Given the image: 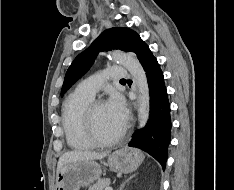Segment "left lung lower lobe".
Instances as JSON below:
<instances>
[{
  "mask_svg": "<svg viewBox=\"0 0 234 190\" xmlns=\"http://www.w3.org/2000/svg\"><path fill=\"white\" fill-rule=\"evenodd\" d=\"M149 85L150 115L145 128L137 131L129 146L142 149L153 156L162 166L167 161V148L171 140L170 104L164 77L157 59L147 44L137 52Z\"/></svg>",
  "mask_w": 234,
  "mask_h": 190,
  "instance_id": "1",
  "label": "left lung lower lobe"
}]
</instances>
